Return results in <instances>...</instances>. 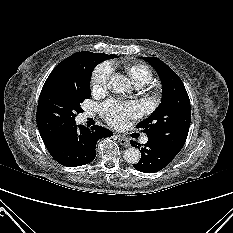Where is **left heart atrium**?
<instances>
[{"label": "left heart atrium", "instance_id": "1", "mask_svg": "<svg viewBox=\"0 0 233 233\" xmlns=\"http://www.w3.org/2000/svg\"><path fill=\"white\" fill-rule=\"evenodd\" d=\"M104 119L114 127H122L131 118L141 115L142 109L136 102L109 100L101 106Z\"/></svg>", "mask_w": 233, "mask_h": 233}]
</instances>
